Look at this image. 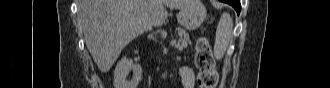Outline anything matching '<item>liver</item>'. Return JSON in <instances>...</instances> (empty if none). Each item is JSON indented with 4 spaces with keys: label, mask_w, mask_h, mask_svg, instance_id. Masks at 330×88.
I'll use <instances>...</instances> for the list:
<instances>
[{
    "label": "liver",
    "mask_w": 330,
    "mask_h": 88,
    "mask_svg": "<svg viewBox=\"0 0 330 88\" xmlns=\"http://www.w3.org/2000/svg\"><path fill=\"white\" fill-rule=\"evenodd\" d=\"M190 0H80L78 17L86 46L102 72L110 70L133 39L161 26L166 7L182 9Z\"/></svg>",
    "instance_id": "6515ba94"
}]
</instances>
